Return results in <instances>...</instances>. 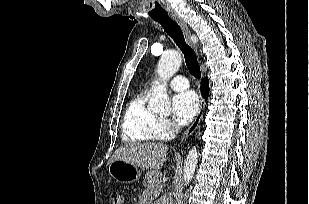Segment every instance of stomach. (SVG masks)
I'll use <instances>...</instances> for the list:
<instances>
[{"instance_id": "obj_1", "label": "stomach", "mask_w": 309, "mask_h": 204, "mask_svg": "<svg viewBox=\"0 0 309 204\" xmlns=\"http://www.w3.org/2000/svg\"><path fill=\"white\" fill-rule=\"evenodd\" d=\"M108 173L121 183L136 182L141 176V171L137 166L122 160L111 161L108 165Z\"/></svg>"}]
</instances>
